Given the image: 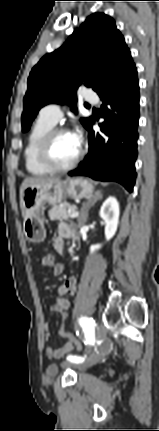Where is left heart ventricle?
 Listing matches in <instances>:
<instances>
[{
	"instance_id": "b2bd125f",
	"label": "left heart ventricle",
	"mask_w": 159,
	"mask_h": 431,
	"mask_svg": "<svg viewBox=\"0 0 159 431\" xmlns=\"http://www.w3.org/2000/svg\"><path fill=\"white\" fill-rule=\"evenodd\" d=\"M79 149L70 133H62L55 138L51 155L58 165H67L75 159Z\"/></svg>"
}]
</instances>
